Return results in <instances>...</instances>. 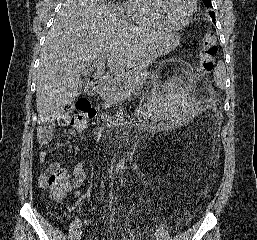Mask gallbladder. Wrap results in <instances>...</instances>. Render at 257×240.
<instances>
[{
    "label": "gallbladder",
    "mask_w": 257,
    "mask_h": 240,
    "mask_svg": "<svg viewBox=\"0 0 257 240\" xmlns=\"http://www.w3.org/2000/svg\"><path fill=\"white\" fill-rule=\"evenodd\" d=\"M82 82H83V85H86L88 83L86 79H84Z\"/></svg>",
    "instance_id": "bac80fb5"
}]
</instances>
